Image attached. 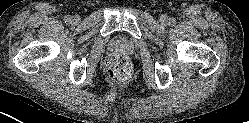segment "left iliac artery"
Wrapping results in <instances>:
<instances>
[{
  "label": "left iliac artery",
  "instance_id": "left-iliac-artery-1",
  "mask_svg": "<svg viewBox=\"0 0 249 123\" xmlns=\"http://www.w3.org/2000/svg\"><path fill=\"white\" fill-rule=\"evenodd\" d=\"M169 23H170L171 25H175L176 20H175L174 18H171Z\"/></svg>",
  "mask_w": 249,
  "mask_h": 123
}]
</instances>
